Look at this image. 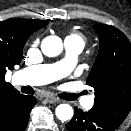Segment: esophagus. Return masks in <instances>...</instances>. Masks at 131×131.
Masks as SVG:
<instances>
[{"mask_svg":"<svg viewBox=\"0 0 131 131\" xmlns=\"http://www.w3.org/2000/svg\"><path fill=\"white\" fill-rule=\"evenodd\" d=\"M46 99L49 103H55V102H59L60 99H58L57 97L53 96V95H47Z\"/></svg>","mask_w":131,"mask_h":131,"instance_id":"obj_1","label":"esophagus"}]
</instances>
